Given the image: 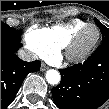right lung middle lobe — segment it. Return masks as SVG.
<instances>
[{"instance_id": "dd1d6c3e", "label": "right lung middle lobe", "mask_w": 109, "mask_h": 109, "mask_svg": "<svg viewBox=\"0 0 109 109\" xmlns=\"http://www.w3.org/2000/svg\"><path fill=\"white\" fill-rule=\"evenodd\" d=\"M1 35L13 41H21V30H16L3 22H1Z\"/></svg>"}]
</instances>
